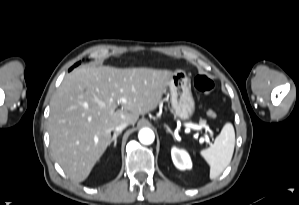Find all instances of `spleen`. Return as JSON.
Returning <instances> with one entry per match:
<instances>
[{
	"instance_id": "obj_1",
	"label": "spleen",
	"mask_w": 299,
	"mask_h": 205,
	"mask_svg": "<svg viewBox=\"0 0 299 205\" xmlns=\"http://www.w3.org/2000/svg\"><path fill=\"white\" fill-rule=\"evenodd\" d=\"M235 146V131L231 123H226L214 143L200 151L210 166V179H216L230 164Z\"/></svg>"
}]
</instances>
